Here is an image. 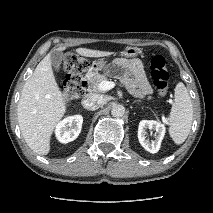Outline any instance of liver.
<instances>
[{"instance_id": "obj_1", "label": "liver", "mask_w": 213, "mask_h": 213, "mask_svg": "<svg viewBox=\"0 0 213 213\" xmlns=\"http://www.w3.org/2000/svg\"><path fill=\"white\" fill-rule=\"evenodd\" d=\"M65 49L66 47L57 48L58 51ZM76 52L84 57H104L111 54L87 48H77ZM65 113L66 103L56 83L49 53L25 82L17 108L22 136L33 152L39 155L49 153L51 135Z\"/></svg>"}]
</instances>
